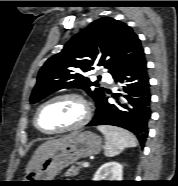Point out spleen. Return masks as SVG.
Masks as SVG:
<instances>
[{"label": "spleen", "mask_w": 178, "mask_h": 186, "mask_svg": "<svg viewBox=\"0 0 178 186\" xmlns=\"http://www.w3.org/2000/svg\"><path fill=\"white\" fill-rule=\"evenodd\" d=\"M98 130L105 137V151L107 157L120 154L125 148L137 146L136 137L129 131L114 126H98Z\"/></svg>", "instance_id": "spleen-1"}]
</instances>
